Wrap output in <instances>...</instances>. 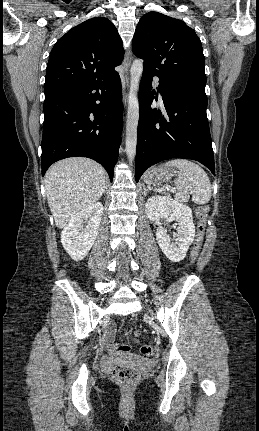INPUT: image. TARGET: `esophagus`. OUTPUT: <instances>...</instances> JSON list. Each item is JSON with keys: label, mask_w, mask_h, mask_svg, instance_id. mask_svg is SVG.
Instances as JSON below:
<instances>
[{"label": "esophagus", "mask_w": 259, "mask_h": 431, "mask_svg": "<svg viewBox=\"0 0 259 431\" xmlns=\"http://www.w3.org/2000/svg\"><path fill=\"white\" fill-rule=\"evenodd\" d=\"M131 62H132V51H131V49H128L126 52V55H125V59H124V76H125V83H126L127 88L129 86V80H130L129 70H130ZM124 97H125V101H126L128 98L127 91H125Z\"/></svg>", "instance_id": "esophagus-1"}]
</instances>
